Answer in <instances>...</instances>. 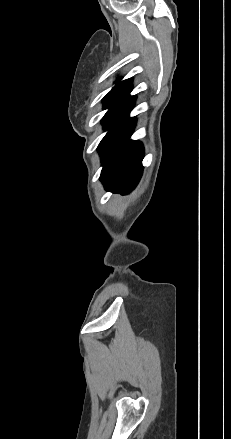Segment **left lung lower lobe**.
<instances>
[{
    "instance_id": "left-lung-lower-lobe-1",
    "label": "left lung lower lobe",
    "mask_w": 231,
    "mask_h": 439,
    "mask_svg": "<svg viewBox=\"0 0 231 439\" xmlns=\"http://www.w3.org/2000/svg\"><path fill=\"white\" fill-rule=\"evenodd\" d=\"M135 99L128 95L102 119L108 133L98 146L103 165L100 179L106 189L121 193L136 187L143 170V145L129 139L136 124L135 117H129Z\"/></svg>"
}]
</instances>
